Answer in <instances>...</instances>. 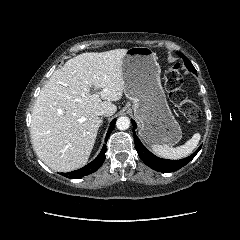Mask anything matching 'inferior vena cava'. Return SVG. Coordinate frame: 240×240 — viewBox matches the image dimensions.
Here are the masks:
<instances>
[{
	"label": "inferior vena cava",
	"mask_w": 240,
	"mask_h": 240,
	"mask_svg": "<svg viewBox=\"0 0 240 240\" xmlns=\"http://www.w3.org/2000/svg\"><path fill=\"white\" fill-rule=\"evenodd\" d=\"M109 112L107 110H101L99 112V115H105V116H108Z\"/></svg>",
	"instance_id": "obj_1"
}]
</instances>
